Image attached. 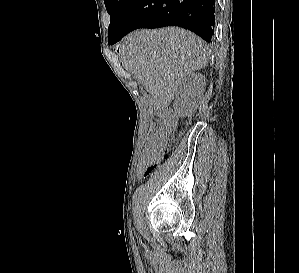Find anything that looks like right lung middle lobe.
<instances>
[{"label": "right lung middle lobe", "instance_id": "obj_1", "mask_svg": "<svg viewBox=\"0 0 299 273\" xmlns=\"http://www.w3.org/2000/svg\"><path fill=\"white\" fill-rule=\"evenodd\" d=\"M134 0H104L111 21L108 28V43L110 44L121 27Z\"/></svg>", "mask_w": 299, "mask_h": 273}]
</instances>
